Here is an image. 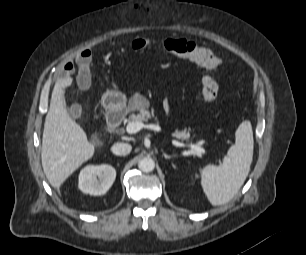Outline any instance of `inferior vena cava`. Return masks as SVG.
<instances>
[{
  "instance_id": "602c4592",
  "label": "inferior vena cava",
  "mask_w": 306,
  "mask_h": 255,
  "mask_svg": "<svg viewBox=\"0 0 306 255\" xmlns=\"http://www.w3.org/2000/svg\"><path fill=\"white\" fill-rule=\"evenodd\" d=\"M111 150L115 155L125 156L131 152L132 146L127 143H115Z\"/></svg>"
}]
</instances>
